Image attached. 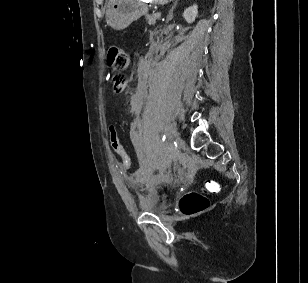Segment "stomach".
<instances>
[{
	"label": "stomach",
	"mask_w": 308,
	"mask_h": 283,
	"mask_svg": "<svg viewBox=\"0 0 308 283\" xmlns=\"http://www.w3.org/2000/svg\"><path fill=\"white\" fill-rule=\"evenodd\" d=\"M169 0H151L154 4H166ZM148 12L143 0H112L106 9V22L115 30L127 28L133 21Z\"/></svg>",
	"instance_id": "obj_1"
}]
</instances>
